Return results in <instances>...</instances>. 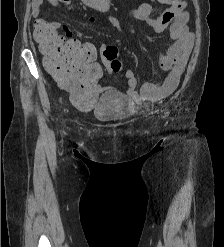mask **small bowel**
<instances>
[{
	"mask_svg": "<svg viewBox=\"0 0 224 247\" xmlns=\"http://www.w3.org/2000/svg\"><path fill=\"white\" fill-rule=\"evenodd\" d=\"M32 14L37 18L36 22L46 23L52 29H58L59 22H48L39 18L44 4L52 7H59L67 4L70 0H32ZM85 4L96 7L102 17L107 19L110 24L118 31L123 30L122 23L110 14L106 0H82ZM169 4L164 6L158 17H155L153 7L144 3L132 11L131 17L147 23L156 33L163 32L169 27L170 37L174 41L165 54L159 53L156 58L163 70L168 71L166 78L157 84L145 83L140 90H137V80L132 70L125 72L127 83V94L134 101L159 100L171 94L179 84L183 69L187 63L194 42V36L188 28L189 14L185 10L183 0H169ZM94 21V16L89 19ZM67 37L72 38V32H67ZM70 41L78 42L71 39ZM106 45H101V51ZM42 49V48H41ZM42 51H44L42 49Z\"/></svg>",
	"mask_w": 224,
	"mask_h": 247,
	"instance_id": "obj_1",
	"label": "small bowel"
}]
</instances>
